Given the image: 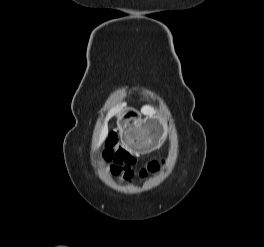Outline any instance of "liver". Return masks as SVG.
Returning a JSON list of instances; mask_svg holds the SVG:
<instances>
[{"label": "liver", "instance_id": "obj_1", "mask_svg": "<svg viewBox=\"0 0 264 247\" xmlns=\"http://www.w3.org/2000/svg\"><path fill=\"white\" fill-rule=\"evenodd\" d=\"M125 105L126 104L124 103L120 107H124ZM120 107L115 108V110H118ZM141 111L143 114H146V115H152L155 113V110L151 107H148V106L143 107ZM107 134H108V129H107V126L105 125L101 130L99 140L94 143V147H99L103 143V141L105 140Z\"/></svg>", "mask_w": 264, "mask_h": 247}]
</instances>
